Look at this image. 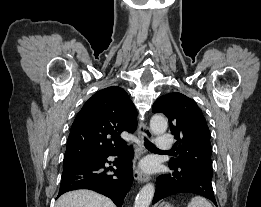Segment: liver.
I'll return each instance as SVG.
<instances>
[{
    "mask_svg": "<svg viewBox=\"0 0 261 207\" xmlns=\"http://www.w3.org/2000/svg\"><path fill=\"white\" fill-rule=\"evenodd\" d=\"M55 207H116L107 197L91 190L70 191L57 200Z\"/></svg>",
    "mask_w": 261,
    "mask_h": 207,
    "instance_id": "obj_1",
    "label": "liver"
}]
</instances>
